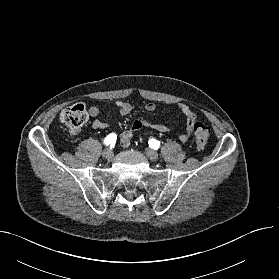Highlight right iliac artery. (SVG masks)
<instances>
[{
    "label": "right iliac artery",
    "mask_w": 279,
    "mask_h": 279,
    "mask_svg": "<svg viewBox=\"0 0 279 279\" xmlns=\"http://www.w3.org/2000/svg\"><path fill=\"white\" fill-rule=\"evenodd\" d=\"M117 136L114 133L109 134L105 140H104V144L105 145H114L116 142Z\"/></svg>",
    "instance_id": "right-iliac-artery-1"
}]
</instances>
